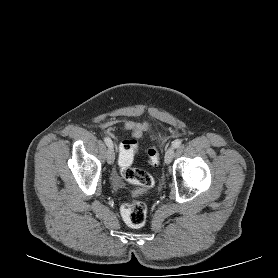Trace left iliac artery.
<instances>
[{
	"label": "left iliac artery",
	"instance_id": "left-iliac-artery-1",
	"mask_svg": "<svg viewBox=\"0 0 278 278\" xmlns=\"http://www.w3.org/2000/svg\"><path fill=\"white\" fill-rule=\"evenodd\" d=\"M181 143H182V140L177 139V140L173 141L172 146L174 148H178L181 145Z\"/></svg>",
	"mask_w": 278,
	"mask_h": 278
}]
</instances>
